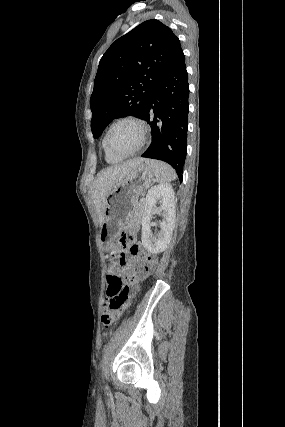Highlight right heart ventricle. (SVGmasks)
<instances>
[{
    "label": "right heart ventricle",
    "instance_id": "e07e8e85",
    "mask_svg": "<svg viewBox=\"0 0 285 427\" xmlns=\"http://www.w3.org/2000/svg\"><path fill=\"white\" fill-rule=\"evenodd\" d=\"M102 148H103V150H104L105 160H106L108 163L114 164V163H118V162H120V161L122 160V158H121V157H118V156H115V155L111 154V153L106 149L105 144H104V138L102 139Z\"/></svg>",
    "mask_w": 285,
    "mask_h": 427
}]
</instances>
